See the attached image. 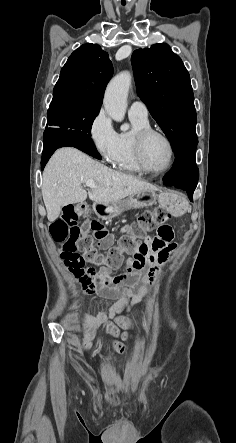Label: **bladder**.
I'll list each match as a JSON object with an SVG mask.
<instances>
[{
  "label": "bladder",
  "instance_id": "bladder-1",
  "mask_svg": "<svg viewBox=\"0 0 236 443\" xmlns=\"http://www.w3.org/2000/svg\"><path fill=\"white\" fill-rule=\"evenodd\" d=\"M116 365V362L112 359H105L102 362V367L104 371H109L111 369H113Z\"/></svg>",
  "mask_w": 236,
  "mask_h": 443
}]
</instances>
